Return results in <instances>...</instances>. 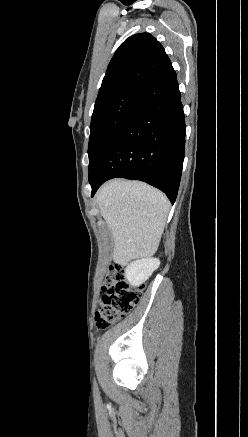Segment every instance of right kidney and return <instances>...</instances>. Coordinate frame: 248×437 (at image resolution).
I'll list each match as a JSON object with an SVG mask.
<instances>
[{"label":"right kidney","instance_id":"obj_1","mask_svg":"<svg viewBox=\"0 0 248 437\" xmlns=\"http://www.w3.org/2000/svg\"><path fill=\"white\" fill-rule=\"evenodd\" d=\"M160 261L156 258H143L130 263L125 269V277L132 286L143 284L159 267Z\"/></svg>","mask_w":248,"mask_h":437}]
</instances>
